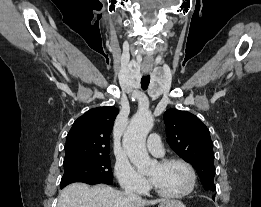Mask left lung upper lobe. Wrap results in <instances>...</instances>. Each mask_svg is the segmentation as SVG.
<instances>
[{
    "mask_svg": "<svg viewBox=\"0 0 261 207\" xmlns=\"http://www.w3.org/2000/svg\"><path fill=\"white\" fill-rule=\"evenodd\" d=\"M170 147L196 169L205 190L216 189L213 143L208 128L195 115L176 109L164 113ZM214 199V196H213Z\"/></svg>",
    "mask_w": 261,
    "mask_h": 207,
    "instance_id": "1",
    "label": "left lung upper lobe"
}]
</instances>
